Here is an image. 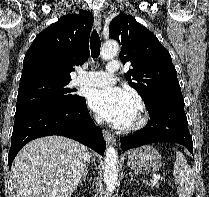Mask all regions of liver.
Segmentation results:
<instances>
[{
	"label": "liver",
	"mask_w": 209,
	"mask_h": 197,
	"mask_svg": "<svg viewBox=\"0 0 209 197\" xmlns=\"http://www.w3.org/2000/svg\"><path fill=\"white\" fill-rule=\"evenodd\" d=\"M91 156L87 147L63 136L32 140L13 162L17 197H71Z\"/></svg>",
	"instance_id": "liver-1"
}]
</instances>
